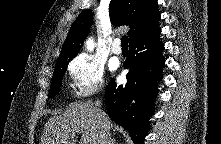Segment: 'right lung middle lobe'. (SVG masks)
Returning a JSON list of instances; mask_svg holds the SVG:
<instances>
[{
    "label": "right lung middle lobe",
    "instance_id": "1",
    "mask_svg": "<svg viewBox=\"0 0 221 144\" xmlns=\"http://www.w3.org/2000/svg\"><path fill=\"white\" fill-rule=\"evenodd\" d=\"M67 64L68 63H64L55 66L51 88L49 90V97H54L58 94L62 83L63 75L65 74V71L67 69Z\"/></svg>",
    "mask_w": 221,
    "mask_h": 144
}]
</instances>
